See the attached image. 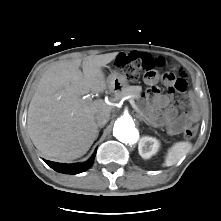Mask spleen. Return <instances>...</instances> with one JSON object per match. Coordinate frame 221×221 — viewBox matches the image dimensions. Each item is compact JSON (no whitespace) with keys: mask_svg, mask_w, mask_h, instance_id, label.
Here are the masks:
<instances>
[{"mask_svg":"<svg viewBox=\"0 0 221 221\" xmlns=\"http://www.w3.org/2000/svg\"><path fill=\"white\" fill-rule=\"evenodd\" d=\"M192 148V144L186 141H180L174 143L169 149L165 156L163 166H173L180 159H182Z\"/></svg>","mask_w":221,"mask_h":221,"instance_id":"3e777b00","label":"spleen"}]
</instances>
